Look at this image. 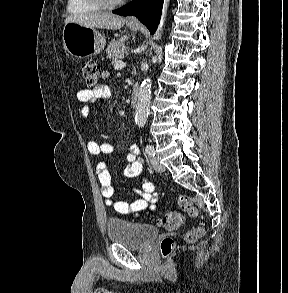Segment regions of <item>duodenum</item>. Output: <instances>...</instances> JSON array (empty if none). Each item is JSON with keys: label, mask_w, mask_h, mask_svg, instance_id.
Returning <instances> with one entry per match:
<instances>
[{"label": "duodenum", "mask_w": 288, "mask_h": 293, "mask_svg": "<svg viewBox=\"0 0 288 293\" xmlns=\"http://www.w3.org/2000/svg\"><path fill=\"white\" fill-rule=\"evenodd\" d=\"M139 100V90L137 86H134L132 93H131V98H130V103L133 107L137 106Z\"/></svg>", "instance_id": "duodenum-1"}]
</instances>
